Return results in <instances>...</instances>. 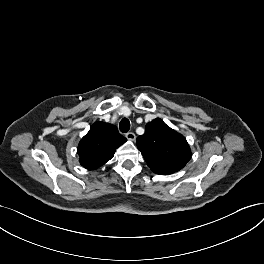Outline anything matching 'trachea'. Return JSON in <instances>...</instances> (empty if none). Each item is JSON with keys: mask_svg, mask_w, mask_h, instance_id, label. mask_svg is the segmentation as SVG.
<instances>
[{"mask_svg": "<svg viewBox=\"0 0 264 264\" xmlns=\"http://www.w3.org/2000/svg\"><path fill=\"white\" fill-rule=\"evenodd\" d=\"M120 131L122 133H127L130 129V122L127 118H123L121 121H120Z\"/></svg>", "mask_w": 264, "mask_h": 264, "instance_id": "trachea-1", "label": "trachea"}]
</instances>
